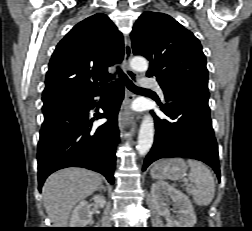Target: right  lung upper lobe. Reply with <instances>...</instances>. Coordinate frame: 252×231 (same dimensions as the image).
I'll return each mask as SVG.
<instances>
[{
    "label": "right lung upper lobe",
    "mask_w": 252,
    "mask_h": 231,
    "mask_svg": "<svg viewBox=\"0 0 252 231\" xmlns=\"http://www.w3.org/2000/svg\"><path fill=\"white\" fill-rule=\"evenodd\" d=\"M122 34L102 13L75 25L58 43L49 62L43 102L99 91L110 78L107 68L122 61Z\"/></svg>",
    "instance_id": "1"
}]
</instances>
